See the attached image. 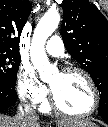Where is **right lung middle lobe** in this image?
Here are the masks:
<instances>
[{"mask_svg": "<svg viewBox=\"0 0 108 127\" xmlns=\"http://www.w3.org/2000/svg\"><path fill=\"white\" fill-rule=\"evenodd\" d=\"M19 65L18 53L0 51V83L15 86Z\"/></svg>", "mask_w": 108, "mask_h": 127, "instance_id": "dd1d6c3e", "label": "right lung middle lobe"}]
</instances>
